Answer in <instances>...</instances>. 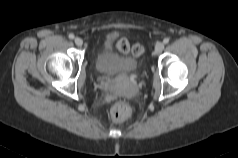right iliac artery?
Instances as JSON below:
<instances>
[{
    "instance_id": "obj_1",
    "label": "right iliac artery",
    "mask_w": 238,
    "mask_h": 158,
    "mask_svg": "<svg viewBox=\"0 0 238 158\" xmlns=\"http://www.w3.org/2000/svg\"><path fill=\"white\" fill-rule=\"evenodd\" d=\"M69 38H70V39H74V34H72V33L69 34Z\"/></svg>"
}]
</instances>
